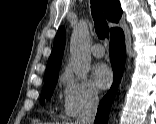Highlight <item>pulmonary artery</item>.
Listing matches in <instances>:
<instances>
[{
    "mask_svg": "<svg viewBox=\"0 0 156 124\" xmlns=\"http://www.w3.org/2000/svg\"><path fill=\"white\" fill-rule=\"evenodd\" d=\"M91 53L96 58H101L104 55V49L101 44H94L91 47Z\"/></svg>",
    "mask_w": 156,
    "mask_h": 124,
    "instance_id": "e3ab8cb5",
    "label": "pulmonary artery"
}]
</instances>
